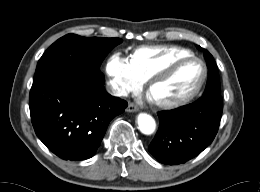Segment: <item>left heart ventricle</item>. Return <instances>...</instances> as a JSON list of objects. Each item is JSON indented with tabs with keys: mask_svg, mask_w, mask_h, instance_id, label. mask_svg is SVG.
Instances as JSON below:
<instances>
[{
	"mask_svg": "<svg viewBox=\"0 0 260 192\" xmlns=\"http://www.w3.org/2000/svg\"><path fill=\"white\" fill-rule=\"evenodd\" d=\"M200 66L196 63H186L178 67L170 76L156 83L152 95L159 100H170L182 96L198 81Z\"/></svg>",
	"mask_w": 260,
	"mask_h": 192,
	"instance_id": "1",
	"label": "left heart ventricle"
}]
</instances>
